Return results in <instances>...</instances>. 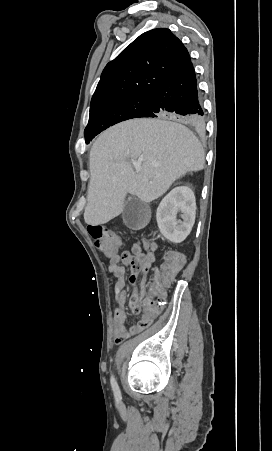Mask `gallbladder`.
<instances>
[{"label":"gallbladder","mask_w":272,"mask_h":451,"mask_svg":"<svg viewBox=\"0 0 272 451\" xmlns=\"http://www.w3.org/2000/svg\"><path fill=\"white\" fill-rule=\"evenodd\" d=\"M122 218L125 226L131 227V229H141L149 222V206L145 202H141L139 198L130 196L125 202Z\"/></svg>","instance_id":"obj_1"}]
</instances>
